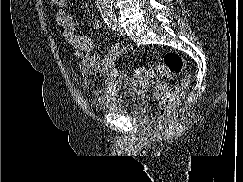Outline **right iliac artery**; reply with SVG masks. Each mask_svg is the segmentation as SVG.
Instances as JSON below:
<instances>
[{
  "mask_svg": "<svg viewBox=\"0 0 243 182\" xmlns=\"http://www.w3.org/2000/svg\"><path fill=\"white\" fill-rule=\"evenodd\" d=\"M108 26H109L112 30H116L117 23H110V24H108Z\"/></svg>",
  "mask_w": 243,
  "mask_h": 182,
  "instance_id": "right-iliac-artery-1",
  "label": "right iliac artery"
}]
</instances>
